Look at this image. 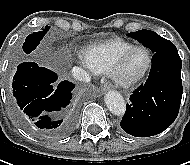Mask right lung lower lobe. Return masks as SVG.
Listing matches in <instances>:
<instances>
[{"label": "right lung lower lobe", "mask_w": 190, "mask_h": 165, "mask_svg": "<svg viewBox=\"0 0 190 165\" xmlns=\"http://www.w3.org/2000/svg\"><path fill=\"white\" fill-rule=\"evenodd\" d=\"M56 80L54 72L34 62L21 63L13 77L10 97L13 111L22 125L60 138L74 126L75 115L68 107L74 84L62 81L55 89L52 83Z\"/></svg>", "instance_id": "obj_1"}]
</instances>
